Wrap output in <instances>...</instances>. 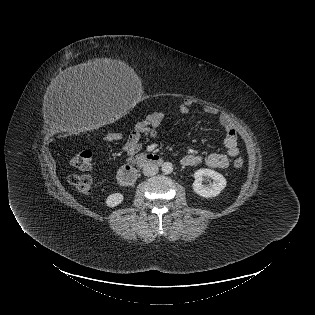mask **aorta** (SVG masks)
I'll use <instances>...</instances> for the list:
<instances>
[{
    "label": "aorta",
    "instance_id": "762f6f07",
    "mask_svg": "<svg viewBox=\"0 0 315 315\" xmlns=\"http://www.w3.org/2000/svg\"><path fill=\"white\" fill-rule=\"evenodd\" d=\"M161 170L164 174H170L173 172V165L170 162H164L161 166Z\"/></svg>",
    "mask_w": 315,
    "mask_h": 315
}]
</instances>
